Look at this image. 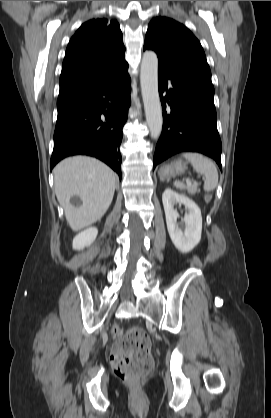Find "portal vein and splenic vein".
I'll return each mask as SVG.
<instances>
[{
    "mask_svg": "<svg viewBox=\"0 0 271 418\" xmlns=\"http://www.w3.org/2000/svg\"><path fill=\"white\" fill-rule=\"evenodd\" d=\"M186 183H187L188 186H191V184H192L190 179H186Z\"/></svg>",
    "mask_w": 271,
    "mask_h": 418,
    "instance_id": "1",
    "label": "portal vein and splenic vein"
}]
</instances>
